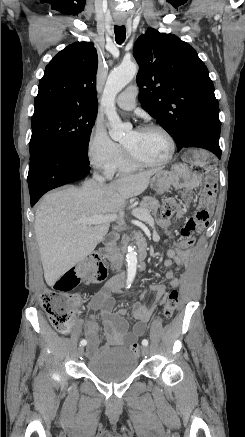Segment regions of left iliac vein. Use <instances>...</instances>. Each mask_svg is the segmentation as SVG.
I'll use <instances>...</instances> for the list:
<instances>
[{
	"label": "left iliac vein",
	"mask_w": 245,
	"mask_h": 437,
	"mask_svg": "<svg viewBox=\"0 0 245 437\" xmlns=\"http://www.w3.org/2000/svg\"><path fill=\"white\" fill-rule=\"evenodd\" d=\"M142 354H143L144 356H148V354H149V349H148L146 346H144V347L142 348Z\"/></svg>",
	"instance_id": "1"
}]
</instances>
